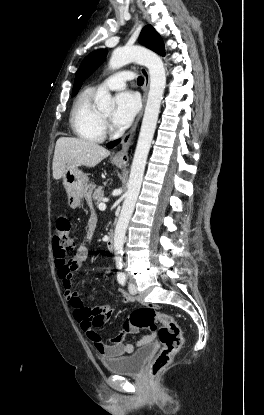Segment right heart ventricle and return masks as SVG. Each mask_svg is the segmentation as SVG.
I'll return each instance as SVG.
<instances>
[{"label": "right heart ventricle", "mask_w": 264, "mask_h": 415, "mask_svg": "<svg viewBox=\"0 0 264 415\" xmlns=\"http://www.w3.org/2000/svg\"><path fill=\"white\" fill-rule=\"evenodd\" d=\"M95 92L85 90L75 99L70 113V126L74 135L89 142H102L105 138L100 112L94 105Z\"/></svg>", "instance_id": "1"}]
</instances>
